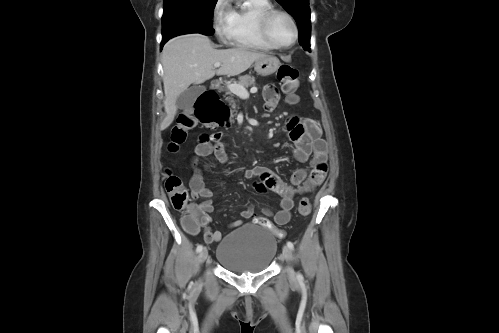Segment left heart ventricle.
<instances>
[{
	"label": "left heart ventricle",
	"instance_id": "b2bd125f",
	"mask_svg": "<svg viewBox=\"0 0 499 333\" xmlns=\"http://www.w3.org/2000/svg\"><path fill=\"white\" fill-rule=\"evenodd\" d=\"M269 32L273 40L279 45H286L293 38L291 23L281 14H276L272 17L269 24Z\"/></svg>",
	"mask_w": 499,
	"mask_h": 333
}]
</instances>
